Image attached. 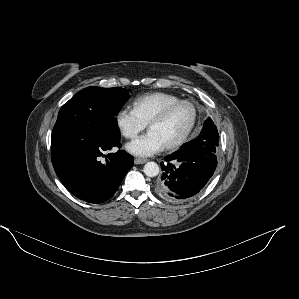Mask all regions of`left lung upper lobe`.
Listing matches in <instances>:
<instances>
[{"mask_svg":"<svg viewBox=\"0 0 299 299\" xmlns=\"http://www.w3.org/2000/svg\"><path fill=\"white\" fill-rule=\"evenodd\" d=\"M204 134L206 135L205 138H208V141L213 144L212 151L216 153L218 147V141H219V134L211 118H208L203 125L200 135H204Z\"/></svg>","mask_w":299,"mask_h":299,"instance_id":"5c2ea615","label":"left lung upper lobe"}]
</instances>
